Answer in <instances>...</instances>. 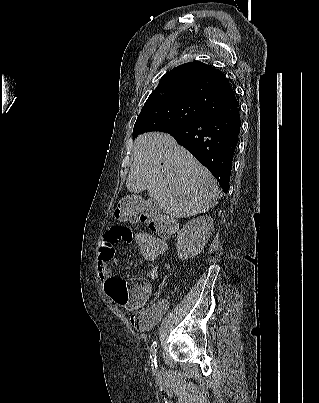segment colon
Segmentation results:
<instances>
[{"mask_svg":"<svg viewBox=\"0 0 319 403\" xmlns=\"http://www.w3.org/2000/svg\"><path fill=\"white\" fill-rule=\"evenodd\" d=\"M142 199V192H128L127 197L120 198L116 211L120 216L145 223L149 227L136 229L134 238H131L134 248L138 249V258H163L167 251L166 238L175 232L176 224L161 214L160 208H151V202Z\"/></svg>","mask_w":319,"mask_h":403,"instance_id":"1","label":"colon"}]
</instances>
